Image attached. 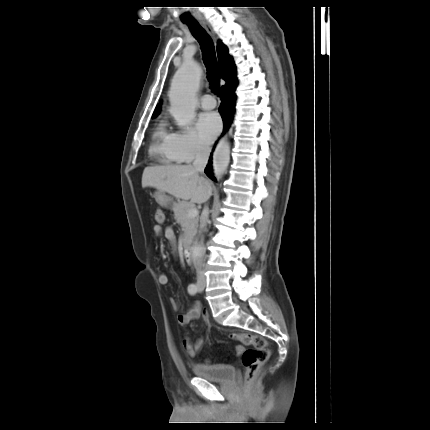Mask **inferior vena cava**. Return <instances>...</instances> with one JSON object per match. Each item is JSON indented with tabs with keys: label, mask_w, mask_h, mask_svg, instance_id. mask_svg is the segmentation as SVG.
Wrapping results in <instances>:
<instances>
[{
	"label": "inferior vena cava",
	"mask_w": 430,
	"mask_h": 430,
	"mask_svg": "<svg viewBox=\"0 0 430 430\" xmlns=\"http://www.w3.org/2000/svg\"><path fill=\"white\" fill-rule=\"evenodd\" d=\"M211 149L209 147H201L195 157V160L193 162V169L197 172H200L201 174L204 172V169L207 165L208 158L210 155ZM209 211L208 207L205 205L201 217H200V231L203 232L206 228L207 221H208ZM204 267V264L201 263L200 267L197 271V277L200 280H205L204 270L202 269Z\"/></svg>",
	"instance_id": "602c4592"
}]
</instances>
